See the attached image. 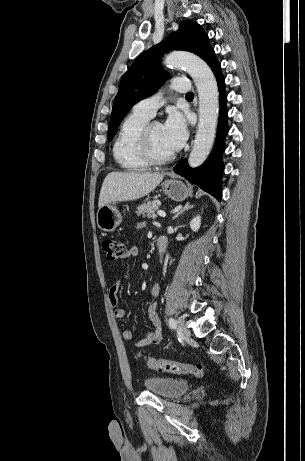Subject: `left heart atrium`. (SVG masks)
Returning <instances> with one entry per match:
<instances>
[{"instance_id": "left-heart-atrium-1", "label": "left heart atrium", "mask_w": 305, "mask_h": 461, "mask_svg": "<svg viewBox=\"0 0 305 461\" xmlns=\"http://www.w3.org/2000/svg\"><path fill=\"white\" fill-rule=\"evenodd\" d=\"M162 127L165 143L170 150L172 152L180 150L188 138V128L184 116L176 111L171 112Z\"/></svg>"}]
</instances>
